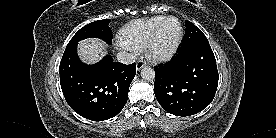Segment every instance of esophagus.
Listing matches in <instances>:
<instances>
[{
    "label": "esophagus",
    "mask_w": 276,
    "mask_h": 138,
    "mask_svg": "<svg viewBox=\"0 0 276 138\" xmlns=\"http://www.w3.org/2000/svg\"><path fill=\"white\" fill-rule=\"evenodd\" d=\"M146 65L145 61L143 59H140L136 64V69L139 71L141 68H143Z\"/></svg>",
    "instance_id": "34e87169"
}]
</instances>
